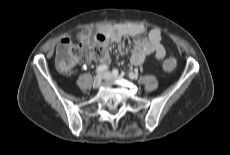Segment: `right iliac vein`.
I'll use <instances>...</instances> for the list:
<instances>
[{
    "mask_svg": "<svg viewBox=\"0 0 230 155\" xmlns=\"http://www.w3.org/2000/svg\"><path fill=\"white\" fill-rule=\"evenodd\" d=\"M102 79H103V75H97L94 79L93 82V87L94 88H98L100 87L101 83H102Z\"/></svg>",
    "mask_w": 230,
    "mask_h": 155,
    "instance_id": "63e3f726",
    "label": "right iliac vein"
}]
</instances>
